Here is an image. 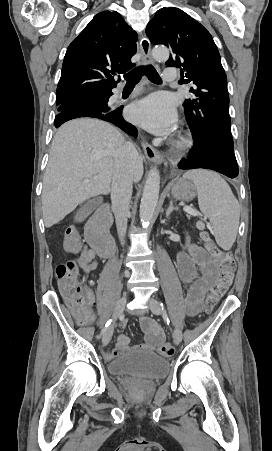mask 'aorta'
<instances>
[{"label":"aorta","mask_w":272,"mask_h":451,"mask_svg":"<svg viewBox=\"0 0 272 451\" xmlns=\"http://www.w3.org/2000/svg\"><path fill=\"white\" fill-rule=\"evenodd\" d=\"M152 56L154 60H158V62L162 60L163 62V60H168L169 50L168 48H154L152 50ZM159 188V172L157 168H152L147 176L140 204V218L143 224H149L155 214L159 198Z\"/></svg>","instance_id":"1"}]
</instances>
